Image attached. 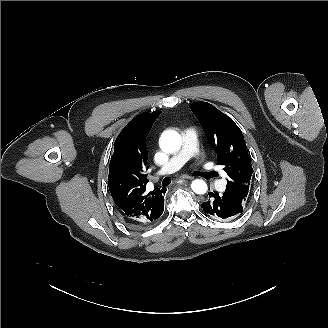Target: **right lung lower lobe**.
<instances>
[{
  "label": "right lung lower lobe",
  "instance_id": "right-lung-lower-lobe-1",
  "mask_svg": "<svg viewBox=\"0 0 328 328\" xmlns=\"http://www.w3.org/2000/svg\"><path fill=\"white\" fill-rule=\"evenodd\" d=\"M163 210H164V203H163V209H162L161 214L163 213ZM160 216H161V215H160ZM123 219H124V221H125L128 225L133 226V225L131 224V222H130L127 218L123 217Z\"/></svg>",
  "mask_w": 328,
  "mask_h": 328
}]
</instances>
